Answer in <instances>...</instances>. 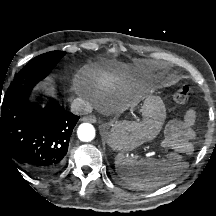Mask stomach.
<instances>
[{"label": "stomach", "instance_id": "obj_1", "mask_svg": "<svg viewBox=\"0 0 216 216\" xmlns=\"http://www.w3.org/2000/svg\"><path fill=\"white\" fill-rule=\"evenodd\" d=\"M142 121L112 124L107 132V143L117 151H131L142 143L154 139L160 132L166 118L162 99L146 95L141 105Z\"/></svg>", "mask_w": 216, "mask_h": 216}]
</instances>
